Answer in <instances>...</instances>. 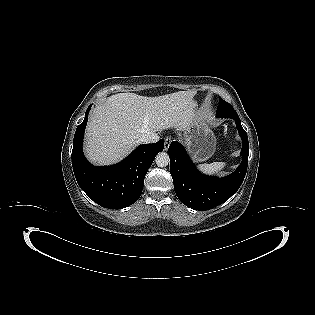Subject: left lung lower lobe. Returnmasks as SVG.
<instances>
[{
	"mask_svg": "<svg viewBox=\"0 0 315 315\" xmlns=\"http://www.w3.org/2000/svg\"><path fill=\"white\" fill-rule=\"evenodd\" d=\"M234 120L243 142V158L239 167L224 178L203 175L196 169L179 142L173 141L170 144V173L175 193L186 206L201 211L211 209L228 200L242 184L247 171L249 142L240 119Z\"/></svg>",
	"mask_w": 315,
	"mask_h": 315,
	"instance_id": "1",
	"label": "left lung lower lobe"
}]
</instances>
